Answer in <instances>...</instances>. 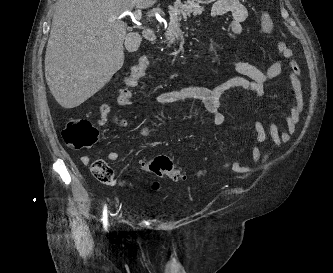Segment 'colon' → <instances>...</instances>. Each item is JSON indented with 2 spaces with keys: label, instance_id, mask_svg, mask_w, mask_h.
I'll return each mask as SVG.
<instances>
[{
  "label": "colon",
  "instance_id": "colon-1",
  "mask_svg": "<svg viewBox=\"0 0 333 273\" xmlns=\"http://www.w3.org/2000/svg\"><path fill=\"white\" fill-rule=\"evenodd\" d=\"M274 23L268 12H263L260 18L259 32L267 38L273 34ZM98 137L97 129L86 119H72L62 130L64 142L73 149L79 150L92 146ZM139 168L143 171L155 174H165L173 181L179 182L185 179V175L179 170L172 160L167 156H156L153 159L141 160ZM91 172L94 177L102 183L111 184L114 182L112 168L102 159H98L91 164ZM152 187H158L153 183Z\"/></svg>",
  "mask_w": 333,
  "mask_h": 273
}]
</instances>
